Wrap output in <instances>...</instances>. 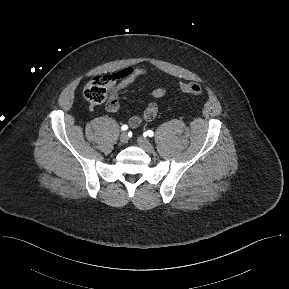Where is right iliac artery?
<instances>
[{
	"mask_svg": "<svg viewBox=\"0 0 289 289\" xmlns=\"http://www.w3.org/2000/svg\"><path fill=\"white\" fill-rule=\"evenodd\" d=\"M121 129H122L123 131H125V130L128 129V126H127V125H123V126L121 127Z\"/></svg>",
	"mask_w": 289,
	"mask_h": 289,
	"instance_id": "right-iliac-artery-1",
	"label": "right iliac artery"
}]
</instances>
